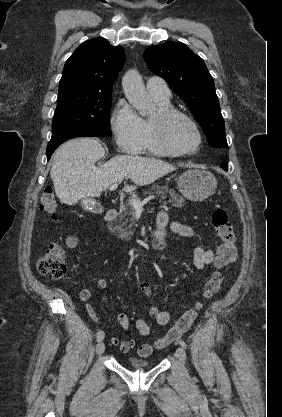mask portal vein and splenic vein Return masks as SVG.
Returning <instances> with one entry per match:
<instances>
[{
    "mask_svg": "<svg viewBox=\"0 0 282 417\" xmlns=\"http://www.w3.org/2000/svg\"><path fill=\"white\" fill-rule=\"evenodd\" d=\"M118 184H111L109 190H115V188H117ZM154 196L150 195L147 196V198H144V200H138V198H129L130 200V204H132V206H134V209L136 212H143L144 211V206L143 204H146V202H148V200H153Z\"/></svg>",
    "mask_w": 282,
    "mask_h": 417,
    "instance_id": "portal-vein-and-splenic-vein-1",
    "label": "portal vein and splenic vein"
}]
</instances>
